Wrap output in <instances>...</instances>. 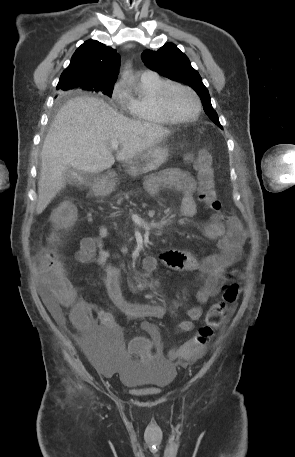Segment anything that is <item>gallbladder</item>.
<instances>
[{
    "instance_id": "gallbladder-1",
    "label": "gallbladder",
    "mask_w": 295,
    "mask_h": 457,
    "mask_svg": "<svg viewBox=\"0 0 295 457\" xmlns=\"http://www.w3.org/2000/svg\"><path fill=\"white\" fill-rule=\"evenodd\" d=\"M63 178H64L65 182H67L69 184H79V181H78V178H77V173L71 167H68L64 171Z\"/></svg>"
}]
</instances>
